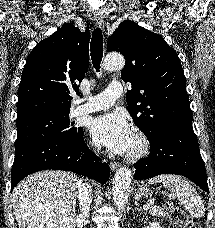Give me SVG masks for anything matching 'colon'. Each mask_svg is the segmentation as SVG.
I'll return each mask as SVG.
<instances>
[{
  "label": "colon",
  "mask_w": 215,
  "mask_h": 228,
  "mask_svg": "<svg viewBox=\"0 0 215 228\" xmlns=\"http://www.w3.org/2000/svg\"><path fill=\"white\" fill-rule=\"evenodd\" d=\"M165 211L175 226L179 228H199L192 217L173 203L166 204Z\"/></svg>",
  "instance_id": "obj_1"
}]
</instances>
